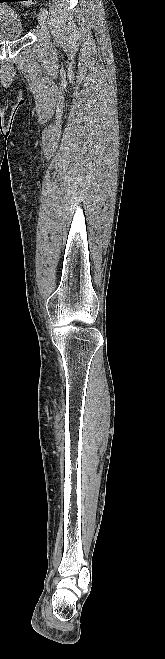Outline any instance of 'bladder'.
I'll list each match as a JSON object with an SVG mask.
<instances>
[{"instance_id": "bladder-1", "label": "bladder", "mask_w": 165, "mask_h": 659, "mask_svg": "<svg viewBox=\"0 0 165 659\" xmlns=\"http://www.w3.org/2000/svg\"><path fill=\"white\" fill-rule=\"evenodd\" d=\"M23 36V23L11 8L0 5V41L19 39Z\"/></svg>"}]
</instances>
